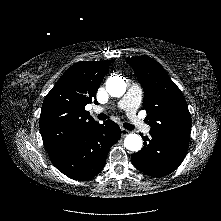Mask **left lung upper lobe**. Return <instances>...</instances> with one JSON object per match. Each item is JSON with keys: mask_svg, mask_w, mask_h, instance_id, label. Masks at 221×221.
<instances>
[{"mask_svg": "<svg viewBox=\"0 0 221 221\" xmlns=\"http://www.w3.org/2000/svg\"><path fill=\"white\" fill-rule=\"evenodd\" d=\"M126 60L144 89L150 132L189 142L191 115L180 89L154 59L137 56Z\"/></svg>", "mask_w": 221, "mask_h": 221, "instance_id": "5c2ea615", "label": "left lung upper lobe"}]
</instances>
